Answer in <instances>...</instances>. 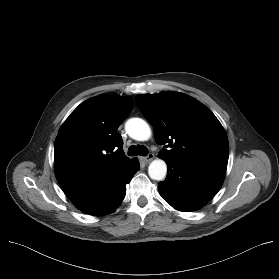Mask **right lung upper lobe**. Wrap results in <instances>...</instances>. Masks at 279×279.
<instances>
[{
	"instance_id": "right-lung-upper-lobe-1",
	"label": "right lung upper lobe",
	"mask_w": 279,
	"mask_h": 279,
	"mask_svg": "<svg viewBox=\"0 0 279 279\" xmlns=\"http://www.w3.org/2000/svg\"><path fill=\"white\" fill-rule=\"evenodd\" d=\"M133 108L130 96L102 95L80 104L58 131L56 178L69 196L98 186L127 169L119 125Z\"/></svg>"
}]
</instances>
